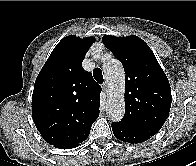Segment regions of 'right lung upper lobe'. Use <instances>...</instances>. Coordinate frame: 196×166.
Instances as JSON below:
<instances>
[{
	"label": "right lung upper lobe",
	"instance_id": "1",
	"mask_svg": "<svg viewBox=\"0 0 196 166\" xmlns=\"http://www.w3.org/2000/svg\"><path fill=\"white\" fill-rule=\"evenodd\" d=\"M94 37L63 38L34 84L32 116L43 139L53 145H78L89 136L99 116L100 92L82 61Z\"/></svg>",
	"mask_w": 196,
	"mask_h": 166
}]
</instances>
